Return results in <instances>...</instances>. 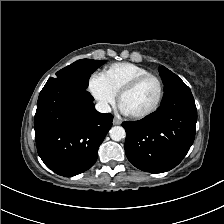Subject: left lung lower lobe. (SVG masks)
Instances as JSON below:
<instances>
[{"instance_id":"obj_1","label":"left lung lower lobe","mask_w":224,"mask_h":224,"mask_svg":"<svg viewBox=\"0 0 224 224\" xmlns=\"http://www.w3.org/2000/svg\"><path fill=\"white\" fill-rule=\"evenodd\" d=\"M196 122L197 109L190 90L162 101L154 113L139 121L123 122L128 160L150 173L171 170L193 144Z\"/></svg>"}]
</instances>
